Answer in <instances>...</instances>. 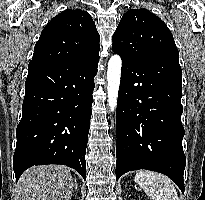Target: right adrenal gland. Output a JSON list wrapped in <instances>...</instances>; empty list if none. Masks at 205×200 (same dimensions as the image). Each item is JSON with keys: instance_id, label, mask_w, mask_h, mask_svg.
Segmentation results:
<instances>
[{"instance_id": "1", "label": "right adrenal gland", "mask_w": 205, "mask_h": 200, "mask_svg": "<svg viewBox=\"0 0 205 200\" xmlns=\"http://www.w3.org/2000/svg\"><path fill=\"white\" fill-rule=\"evenodd\" d=\"M75 184H74V187H75V190L77 191V189H78V184H77V181H76V179H75Z\"/></svg>"}]
</instances>
